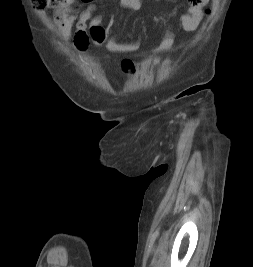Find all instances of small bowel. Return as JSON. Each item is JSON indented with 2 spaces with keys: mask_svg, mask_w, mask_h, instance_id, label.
I'll return each mask as SVG.
<instances>
[{
  "mask_svg": "<svg viewBox=\"0 0 253 267\" xmlns=\"http://www.w3.org/2000/svg\"><path fill=\"white\" fill-rule=\"evenodd\" d=\"M188 9L178 18V25L185 30L196 28L203 16V10L209 0H187ZM118 4L137 12L141 9V0H118ZM54 21L62 37L68 40L73 36V43L79 50H85L90 43L89 29L91 26H102V17L98 12L95 0H71L63 7H58L54 14ZM74 29V31H73ZM108 42L106 48L115 53H132L141 46V41L120 42L116 35H112V24L106 28ZM174 43V33L166 28L160 42L153 48L155 53H163L171 49Z\"/></svg>",
  "mask_w": 253,
  "mask_h": 267,
  "instance_id": "c3829d8e",
  "label": "small bowel"
}]
</instances>
